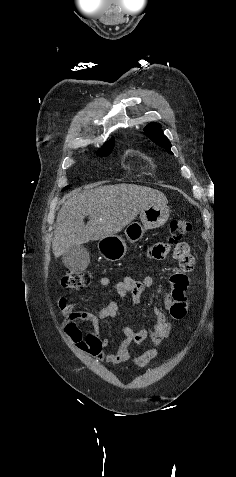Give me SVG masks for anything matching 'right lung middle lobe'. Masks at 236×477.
Masks as SVG:
<instances>
[{
    "label": "right lung middle lobe",
    "instance_id": "1",
    "mask_svg": "<svg viewBox=\"0 0 236 477\" xmlns=\"http://www.w3.org/2000/svg\"><path fill=\"white\" fill-rule=\"evenodd\" d=\"M111 151H112V149H110V150H103V151L98 152V155H99L100 157L108 156V155L111 153ZM68 188H69V186H66V187H64V188L62 189V191L66 190V189H68Z\"/></svg>",
    "mask_w": 236,
    "mask_h": 477
}]
</instances>
